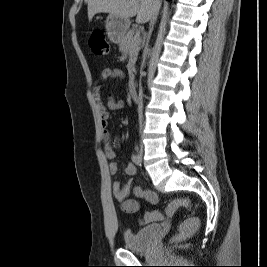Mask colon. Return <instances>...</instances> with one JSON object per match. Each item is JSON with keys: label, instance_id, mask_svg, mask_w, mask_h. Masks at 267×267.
<instances>
[{"label": "colon", "instance_id": "obj_1", "mask_svg": "<svg viewBox=\"0 0 267 267\" xmlns=\"http://www.w3.org/2000/svg\"><path fill=\"white\" fill-rule=\"evenodd\" d=\"M89 46L92 52L99 56H105L110 51L109 43L104 34L100 31H95L89 38ZM190 208L191 202L188 198L180 197L172 200L165 208L164 212L150 211L145 213L143 221L145 223L160 221L164 218L171 217L175 211L180 208ZM199 220L196 217L185 219L179 226L177 233L173 236L172 242H179L190 238L197 230Z\"/></svg>", "mask_w": 267, "mask_h": 267}]
</instances>
